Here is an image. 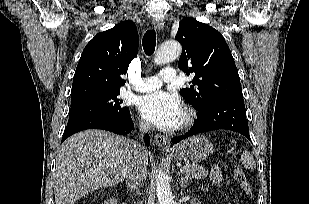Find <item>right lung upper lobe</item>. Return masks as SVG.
I'll return each mask as SVG.
<instances>
[{
  "label": "right lung upper lobe",
  "instance_id": "obj_1",
  "mask_svg": "<svg viewBox=\"0 0 309 204\" xmlns=\"http://www.w3.org/2000/svg\"><path fill=\"white\" fill-rule=\"evenodd\" d=\"M134 22L126 20L98 33L85 47L77 65L71 104L119 91L121 78L138 52Z\"/></svg>",
  "mask_w": 309,
  "mask_h": 204
}]
</instances>
